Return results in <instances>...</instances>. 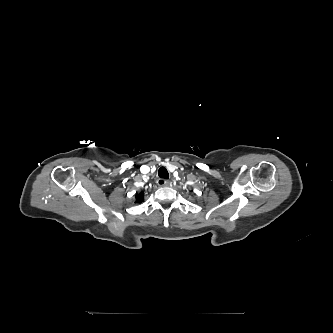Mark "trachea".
Masks as SVG:
<instances>
[{
  "label": "trachea",
  "mask_w": 333,
  "mask_h": 333,
  "mask_svg": "<svg viewBox=\"0 0 333 333\" xmlns=\"http://www.w3.org/2000/svg\"><path fill=\"white\" fill-rule=\"evenodd\" d=\"M158 175L160 178L168 179L169 173L165 167H161L158 171Z\"/></svg>",
  "instance_id": "trachea-1"
}]
</instances>
